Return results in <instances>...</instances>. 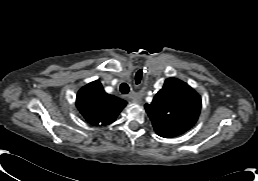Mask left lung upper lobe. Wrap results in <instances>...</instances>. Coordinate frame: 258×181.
<instances>
[{
  "label": "left lung upper lobe",
  "mask_w": 258,
  "mask_h": 181,
  "mask_svg": "<svg viewBox=\"0 0 258 181\" xmlns=\"http://www.w3.org/2000/svg\"><path fill=\"white\" fill-rule=\"evenodd\" d=\"M154 130L165 138L178 136L189 130L197 121L200 96L186 83L168 78L151 104L145 105Z\"/></svg>",
  "instance_id": "1"
}]
</instances>
